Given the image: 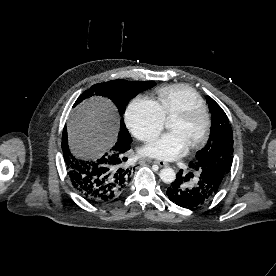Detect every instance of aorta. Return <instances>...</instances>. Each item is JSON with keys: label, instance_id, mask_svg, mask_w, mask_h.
Here are the masks:
<instances>
[{"label": "aorta", "instance_id": "1", "mask_svg": "<svg viewBox=\"0 0 276 276\" xmlns=\"http://www.w3.org/2000/svg\"><path fill=\"white\" fill-rule=\"evenodd\" d=\"M160 178L164 183L170 184L176 179V173L172 168L166 167L160 171Z\"/></svg>", "mask_w": 276, "mask_h": 276}]
</instances>
